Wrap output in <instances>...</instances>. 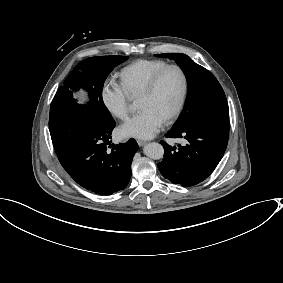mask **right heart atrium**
<instances>
[{
	"label": "right heart atrium",
	"instance_id": "1",
	"mask_svg": "<svg viewBox=\"0 0 283 283\" xmlns=\"http://www.w3.org/2000/svg\"><path fill=\"white\" fill-rule=\"evenodd\" d=\"M101 99L107 110L116 118L126 120L129 116L130 96L121 82L111 78L101 87Z\"/></svg>",
	"mask_w": 283,
	"mask_h": 283
}]
</instances>
